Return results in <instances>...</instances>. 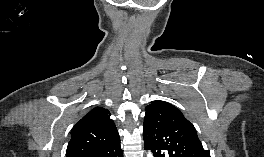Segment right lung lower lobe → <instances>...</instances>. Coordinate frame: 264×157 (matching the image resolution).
<instances>
[{"mask_svg": "<svg viewBox=\"0 0 264 157\" xmlns=\"http://www.w3.org/2000/svg\"><path fill=\"white\" fill-rule=\"evenodd\" d=\"M95 157H123V151L121 150L120 142L112 148L99 153Z\"/></svg>", "mask_w": 264, "mask_h": 157, "instance_id": "right-lung-lower-lobe-1", "label": "right lung lower lobe"}]
</instances>
